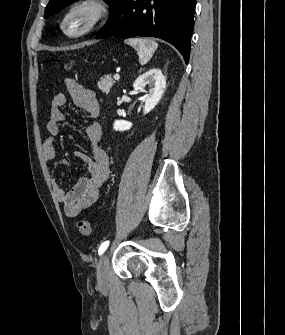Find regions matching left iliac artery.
<instances>
[{
	"mask_svg": "<svg viewBox=\"0 0 285 335\" xmlns=\"http://www.w3.org/2000/svg\"><path fill=\"white\" fill-rule=\"evenodd\" d=\"M109 245V241H105L101 244V246L99 247L98 253L99 255L103 254L105 252V250L107 249Z\"/></svg>",
	"mask_w": 285,
	"mask_h": 335,
	"instance_id": "left-iliac-artery-1",
	"label": "left iliac artery"
}]
</instances>
